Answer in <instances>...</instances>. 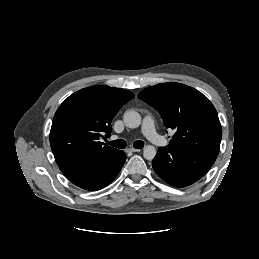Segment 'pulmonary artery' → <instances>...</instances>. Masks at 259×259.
<instances>
[{"label":"pulmonary artery","instance_id":"e3ab8cb5","mask_svg":"<svg viewBox=\"0 0 259 259\" xmlns=\"http://www.w3.org/2000/svg\"><path fill=\"white\" fill-rule=\"evenodd\" d=\"M142 134L154 144H161L163 141L160 135L156 132L154 121L149 115L144 117L142 124Z\"/></svg>","mask_w":259,"mask_h":259}]
</instances>
